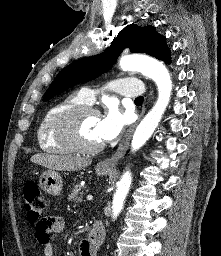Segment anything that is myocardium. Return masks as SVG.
I'll list each match as a JSON object with an SVG mask.
<instances>
[{"label":"myocardium","instance_id":"1","mask_svg":"<svg viewBox=\"0 0 221 256\" xmlns=\"http://www.w3.org/2000/svg\"><path fill=\"white\" fill-rule=\"evenodd\" d=\"M88 114L99 115L98 111L89 104L79 105L66 112L59 120L57 134L61 141L69 148L82 154H95L104 147L103 143L94 146L83 144L79 137V129L82 119Z\"/></svg>","mask_w":221,"mask_h":256}]
</instances>
